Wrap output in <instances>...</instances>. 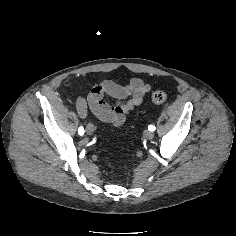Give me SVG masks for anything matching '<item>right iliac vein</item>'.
Instances as JSON below:
<instances>
[{"mask_svg":"<svg viewBox=\"0 0 236 236\" xmlns=\"http://www.w3.org/2000/svg\"><path fill=\"white\" fill-rule=\"evenodd\" d=\"M94 129L95 128H94L93 124H88L86 127L87 134L91 135L94 132Z\"/></svg>","mask_w":236,"mask_h":236,"instance_id":"obj_1","label":"right iliac vein"}]
</instances>
